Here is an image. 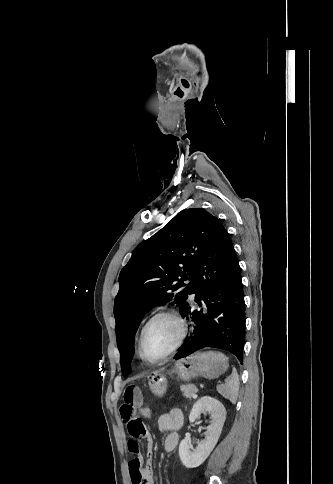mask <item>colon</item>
I'll return each instance as SVG.
<instances>
[{"instance_id":"5ec220e1","label":"colon","mask_w":333,"mask_h":484,"mask_svg":"<svg viewBox=\"0 0 333 484\" xmlns=\"http://www.w3.org/2000/svg\"><path fill=\"white\" fill-rule=\"evenodd\" d=\"M140 415L144 420H150L152 418V410L147 406H143L140 408Z\"/></svg>"}]
</instances>
